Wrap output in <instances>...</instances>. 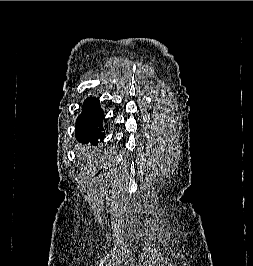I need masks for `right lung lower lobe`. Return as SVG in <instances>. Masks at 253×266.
Instances as JSON below:
<instances>
[{
	"label": "right lung lower lobe",
	"instance_id": "obj_1",
	"mask_svg": "<svg viewBox=\"0 0 253 266\" xmlns=\"http://www.w3.org/2000/svg\"><path fill=\"white\" fill-rule=\"evenodd\" d=\"M104 111L99 105L96 97L90 96L82 106V112L76 121V137L80 142L97 145L104 139V128L102 122Z\"/></svg>",
	"mask_w": 253,
	"mask_h": 266
}]
</instances>
